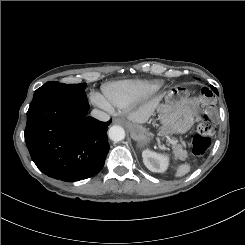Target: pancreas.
<instances>
[{
	"label": "pancreas",
	"mask_w": 245,
	"mask_h": 245,
	"mask_svg": "<svg viewBox=\"0 0 245 245\" xmlns=\"http://www.w3.org/2000/svg\"><path fill=\"white\" fill-rule=\"evenodd\" d=\"M173 150L176 159L184 160L186 158L187 152L181 144H173Z\"/></svg>",
	"instance_id": "pancreas-1"
}]
</instances>
